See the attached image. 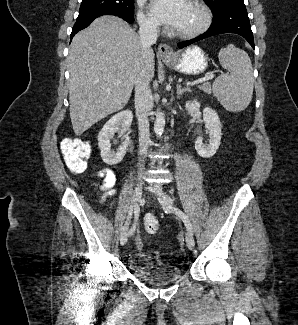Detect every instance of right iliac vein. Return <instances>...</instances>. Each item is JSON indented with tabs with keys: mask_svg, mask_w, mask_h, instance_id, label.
I'll return each instance as SVG.
<instances>
[{
	"mask_svg": "<svg viewBox=\"0 0 298 325\" xmlns=\"http://www.w3.org/2000/svg\"><path fill=\"white\" fill-rule=\"evenodd\" d=\"M142 190H143V182L139 181L136 185V188L133 192V195L131 197V202H130V208H129V215L127 217V220L122 228L121 234H120V243L121 245H125L127 242L128 238V229L130 225V219L132 216L133 211L138 207L139 202L142 197Z\"/></svg>",
	"mask_w": 298,
	"mask_h": 325,
	"instance_id": "63e3f726",
	"label": "right iliac vein"
}]
</instances>
